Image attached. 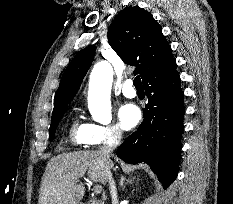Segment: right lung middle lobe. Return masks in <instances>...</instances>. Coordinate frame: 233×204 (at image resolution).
I'll use <instances>...</instances> for the list:
<instances>
[{"instance_id": "1", "label": "right lung middle lobe", "mask_w": 233, "mask_h": 204, "mask_svg": "<svg viewBox=\"0 0 233 204\" xmlns=\"http://www.w3.org/2000/svg\"><path fill=\"white\" fill-rule=\"evenodd\" d=\"M64 113H62L61 115L55 117V118H52L51 119V126H50V130H49V137H50V140H53L54 139V135H55V129L60 121V119L62 118Z\"/></svg>"}]
</instances>
